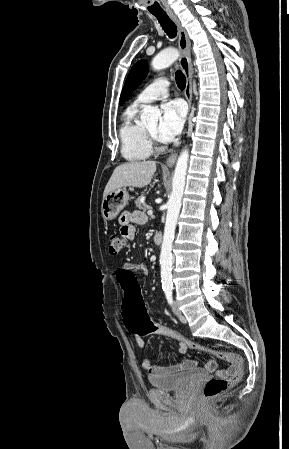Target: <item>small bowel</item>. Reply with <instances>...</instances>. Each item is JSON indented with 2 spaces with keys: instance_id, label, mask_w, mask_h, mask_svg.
Returning a JSON list of instances; mask_svg holds the SVG:
<instances>
[{
  "instance_id": "obj_1",
  "label": "small bowel",
  "mask_w": 289,
  "mask_h": 449,
  "mask_svg": "<svg viewBox=\"0 0 289 449\" xmlns=\"http://www.w3.org/2000/svg\"><path fill=\"white\" fill-rule=\"evenodd\" d=\"M146 222V216L140 211H126L123 212L120 217V232L121 235L129 242L133 241L136 235L135 225H141ZM122 268H132L133 271H140L142 273H147V268L141 264H131L126 263ZM137 345L139 348H144L145 342L142 336L133 334ZM179 343V353L184 354L188 350L189 346L185 341L176 340ZM198 365L197 361L194 359H186L180 363L172 364L168 366L164 365H154L151 359H145L142 362V367L150 375H158L163 373H176L185 370H192ZM204 368L207 371H214L216 369V363L213 360H207L204 364ZM236 371V365L230 363L229 367L217 371L219 376H230Z\"/></svg>"
}]
</instances>
